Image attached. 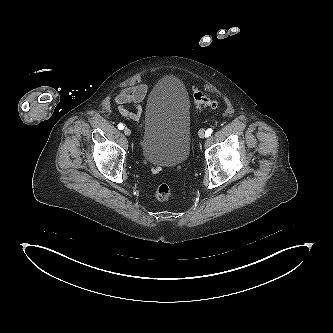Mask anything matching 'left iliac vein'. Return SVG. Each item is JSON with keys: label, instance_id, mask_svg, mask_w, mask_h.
I'll list each match as a JSON object with an SVG mask.
<instances>
[{"label": "left iliac vein", "instance_id": "4c4485c4", "mask_svg": "<svg viewBox=\"0 0 333 333\" xmlns=\"http://www.w3.org/2000/svg\"><path fill=\"white\" fill-rule=\"evenodd\" d=\"M198 135H199L200 138H204L205 137L204 129H200L199 132H198Z\"/></svg>", "mask_w": 333, "mask_h": 333}]
</instances>
